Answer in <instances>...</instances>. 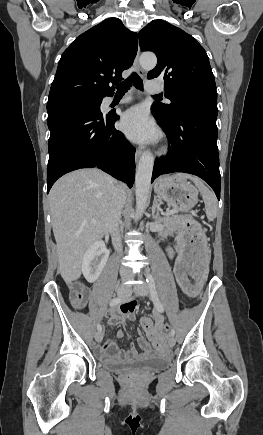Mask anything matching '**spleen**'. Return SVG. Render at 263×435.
<instances>
[{
    "label": "spleen",
    "mask_w": 263,
    "mask_h": 435,
    "mask_svg": "<svg viewBox=\"0 0 263 435\" xmlns=\"http://www.w3.org/2000/svg\"><path fill=\"white\" fill-rule=\"evenodd\" d=\"M174 177L182 180L190 179L202 193L205 203L206 215L209 220H214L217 214V200L215 195L205 186V184L197 177L189 174L178 173Z\"/></svg>",
    "instance_id": "1"
}]
</instances>
